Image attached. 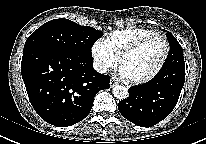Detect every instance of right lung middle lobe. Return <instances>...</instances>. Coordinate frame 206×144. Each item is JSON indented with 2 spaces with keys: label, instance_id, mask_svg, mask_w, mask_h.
<instances>
[{
  "label": "right lung middle lobe",
  "instance_id": "1",
  "mask_svg": "<svg viewBox=\"0 0 206 144\" xmlns=\"http://www.w3.org/2000/svg\"><path fill=\"white\" fill-rule=\"evenodd\" d=\"M103 35L93 27L68 19H54L39 27L25 42L23 52L33 48H54L92 60L91 48Z\"/></svg>",
  "mask_w": 206,
  "mask_h": 144
}]
</instances>
